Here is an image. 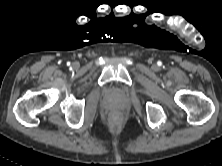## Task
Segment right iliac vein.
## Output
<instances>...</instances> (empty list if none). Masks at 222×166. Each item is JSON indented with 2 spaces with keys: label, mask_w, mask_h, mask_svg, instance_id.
Segmentation results:
<instances>
[{
  "label": "right iliac vein",
  "mask_w": 222,
  "mask_h": 166,
  "mask_svg": "<svg viewBox=\"0 0 222 166\" xmlns=\"http://www.w3.org/2000/svg\"><path fill=\"white\" fill-rule=\"evenodd\" d=\"M74 66L77 67L78 65L75 63Z\"/></svg>",
  "instance_id": "63e3f726"
}]
</instances>
